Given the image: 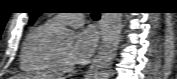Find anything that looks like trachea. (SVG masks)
Returning <instances> with one entry per match:
<instances>
[{
	"instance_id": "1",
	"label": "trachea",
	"mask_w": 177,
	"mask_h": 79,
	"mask_svg": "<svg viewBox=\"0 0 177 79\" xmlns=\"http://www.w3.org/2000/svg\"><path fill=\"white\" fill-rule=\"evenodd\" d=\"M93 20H98L100 18L99 14H92Z\"/></svg>"
}]
</instances>
